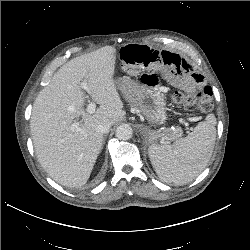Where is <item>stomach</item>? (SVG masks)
<instances>
[{"instance_id": "1", "label": "stomach", "mask_w": 250, "mask_h": 250, "mask_svg": "<svg viewBox=\"0 0 250 250\" xmlns=\"http://www.w3.org/2000/svg\"><path fill=\"white\" fill-rule=\"evenodd\" d=\"M137 44V43H136ZM138 81H129L121 84L120 89L124 96L139 109L148 119L162 123L166 119L164 90L155 75L139 76ZM179 127H168L159 130L153 139L171 141L181 136Z\"/></svg>"}]
</instances>
